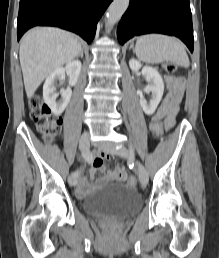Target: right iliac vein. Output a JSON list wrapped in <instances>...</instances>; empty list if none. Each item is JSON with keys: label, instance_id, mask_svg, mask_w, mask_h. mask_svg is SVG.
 <instances>
[{"label": "right iliac vein", "instance_id": "right-iliac-vein-1", "mask_svg": "<svg viewBox=\"0 0 219 258\" xmlns=\"http://www.w3.org/2000/svg\"><path fill=\"white\" fill-rule=\"evenodd\" d=\"M79 146L82 151H87L89 149V133L84 132L79 139ZM68 182L71 186H75L77 183V179L75 176L70 175L68 178Z\"/></svg>", "mask_w": 219, "mask_h": 258}]
</instances>
